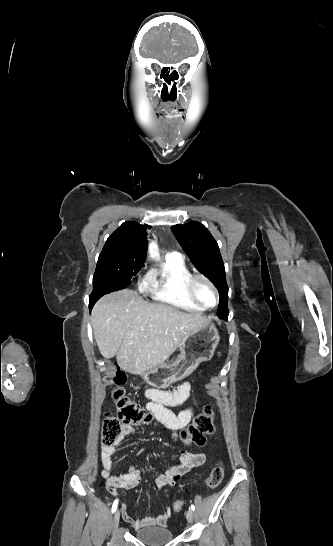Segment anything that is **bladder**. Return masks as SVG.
I'll return each mask as SVG.
<instances>
[{"label": "bladder", "instance_id": "bladder-1", "mask_svg": "<svg viewBox=\"0 0 333 546\" xmlns=\"http://www.w3.org/2000/svg\"><path fill=\"white\" fill-rule=\"evenodd\" d=\"M135 537L148 546H163L173 539V533L164 527L149 526L137 530Z\"/></svg>", "mask_w": 333, "mask_h": 546}]
</instances>
